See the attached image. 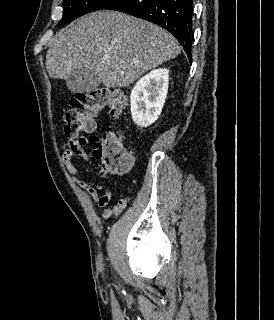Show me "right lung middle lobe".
<instances>
[{"mask_svg": "<svg viewBox=\"0 0 274 320\" xmlns=\"http://www.w3.org/2000/svg\"><path fill=\"white\" fill-rule=\"evenodd\" d=\"M114 0H63V18L58 25L70 21L93 11L103 9Z\"/></svg>", "mask_w": 274, "mask_h": 320, "instance_id": "right-lung-middle-lobe-1", "label": "right lung middle lobe"}]
</instances>
